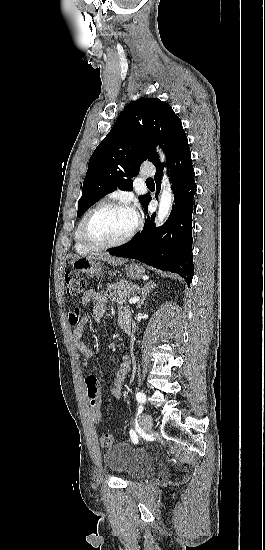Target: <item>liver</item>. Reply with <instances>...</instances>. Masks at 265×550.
Here are the masks:
<instances>
[{
  "mask_svg": "<svg viewBox=\"0 0 265 550\" xmlns=\"http://www.w3.org/2000/svg\"><path fill=\"white\" fill-rule=\"evenodd\" d=\"M96 256H98V257L100 258V260L107 261L108 263H110V264H112V265H115V266L121 265V264L124 263V261L121 260V259L109 258V257H106V256H104V255H102V254L96 255Z\"/></svg>",
  "mask_w": 265,
  "mask_h": 550,
  "instance_id": "liver-1",
  "label": "liver"
}]
</instances>
